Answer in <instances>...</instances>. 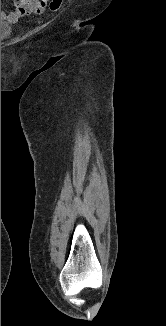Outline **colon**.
<instances>
[{
  "instance_id": "5ec220e1",
  "label": "colon",
  "mask_w": 166,
  "mask_h": 326,
  "mask_svg": "<svg viewBox=\"0 0 166 326\" xmlns=\"http://www.w3.org/2000/svg\"><path fill=\"white\" fill-rule=\"evenodd\" d=\"M62 1L63 0H51L50 1V4H49V10L51 12L57 11L60 8V6H61Z\"/></svg>"
}]
</instances>
